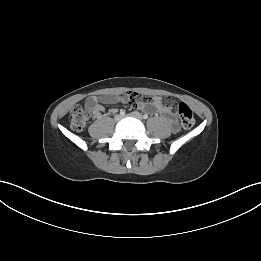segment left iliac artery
<instances>
[{
  "label": "left iliac artery",
  "mask_w": 261,
  "mask_h": 261,
  "mask_svg": "<svg viewBox=\"0 0 261 261\" xmlns=\"http://www.w3.org/2000/svg\"><path fill=\"white\" fill-rule=\"evenodd\" d=\"M143 118H144V119H147V118H148V115H147V114H144V115H143Z\"/></svg>",
  "instance_id": "44dca946"
}]
</instances>
